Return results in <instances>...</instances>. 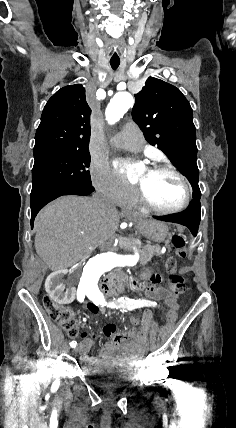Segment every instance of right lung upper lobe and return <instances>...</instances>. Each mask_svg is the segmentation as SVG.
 I'll use <instances>...</instances> for the list:
<instances>
[{
    "label": "right lung upper lobe",
    "instance_id": "1",
    "mask_svg": "<svg viewBox=\"0 0 236 428\" xmlns=\"http://www.w3.org/2000/svg\"><path fill=\"white\" fill-rule=\"evenodd\" d=\"M91 109L85 98V88L66 86L47 102L36 131L34 151L41 149H85L90 139Z\"/></svg>",
    "mask_w": 236,
    "mask_h": 428
}]
</instances>
